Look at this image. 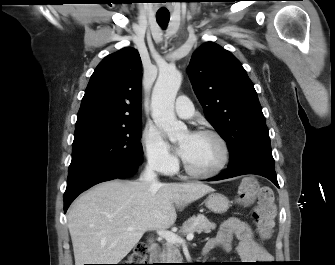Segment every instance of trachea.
<instances>
[{
  "label": "trachea",
  "instance_id": "obj_1",
  "mask_svg": "<svg viewBox=\"0 0 335 265\" xmlns=\"http://www.w3.org/2000/svg\"><path fill=\"white\" fill-rule=\"evenodd\" d=\"M156 20L160 27L165 29L168 25V22L170 20V14H156Z\"/></svg>",
  "mask_w": 335,
  "mask_h": 265
}]
</instances>
